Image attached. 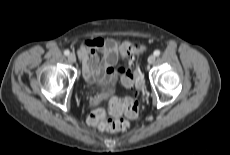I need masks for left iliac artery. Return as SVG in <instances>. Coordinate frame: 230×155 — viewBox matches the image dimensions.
I'll list each match as a JSON object with an SVG mask.
<instances>
[{"mask_svg":"<svg viewBox=\"0 0 230 155\" xmlns=\"http://www.w3.org/2000/svg\"><path fill=\"white\" fill-rule=\"evenodd\" d=\"M154 55H155V56H159V55H160V51H159V50H155V51H154Z\"/></svg>","mask_w":230,"mask_h":155,"instance_id":"1","label":"left iliac artery"}]
</instances>
